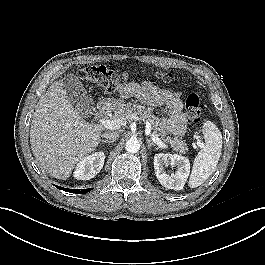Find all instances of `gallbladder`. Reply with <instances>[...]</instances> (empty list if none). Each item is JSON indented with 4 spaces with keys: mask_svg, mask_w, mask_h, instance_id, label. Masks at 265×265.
<instances>
[{
    "mask_svg": "<svg viewBox=\"0 0 265 265\" xmlns=\"http://www.w3.org/2000/svg\"><path fill=\"white\" fill-rule=\"evenodd\" d=\"M62 83L70 102L82 117L88 118L93 112L94 102L82 82L74 74H68Z\"/></svg>",
    "mask_w": 265,
    "mask_h": 265,
    "instance_id": "bac80fb5",
    "label": "gallbladder"
}]
</instances>
